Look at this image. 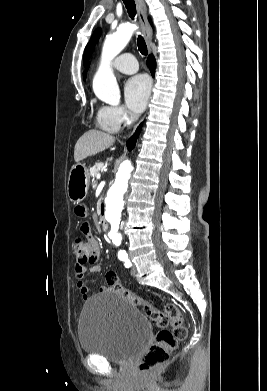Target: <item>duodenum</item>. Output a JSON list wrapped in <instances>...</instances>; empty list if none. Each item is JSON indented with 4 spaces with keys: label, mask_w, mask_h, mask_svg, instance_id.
I'll return each instance as SVG.
<instances>
[{
    "label": "duodenum",
    "mask_w": 267,
    "mask_h": 391,
    "mask_svg": "<svg viewBox=\"0 0 267 391\" xmlns=\"http://www.w3.org/2000/svg\"><path fill=\"white\" fill-rule=\"evenodd\" d=\"M99 223H100L102 229H107L108 225H107V221L104 217L102 206H100V209H99Z\"/></svg>",
    "instance_id": "1"
}]
</instances>
